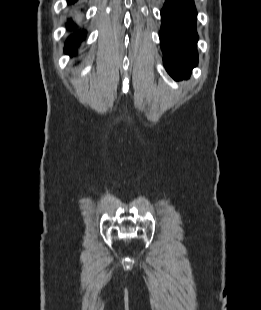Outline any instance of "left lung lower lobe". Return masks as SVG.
Here are the masks:
<instances>
[{"label":"left lung lower lobe","mask_w":261,"mask_h":310,"mask_svg":"<svg viewBox=\"0 0 261 310\" xmlns=\"http://www.w3.org/2000/svg\"><path fill=\"white\" fill-rule=\"evenodd\" d=\"M196 17L194 0H166L161 11L163 60L174 79L188 77L198 63Z\"/></svg>","instance_id":"obj_1"}]
</instances>
